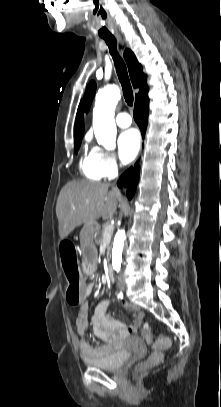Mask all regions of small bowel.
<instances>
[{
	"instance_id": "small-bowel-1",
	"label": "small bowel",
	"mask_w": 221,
	"mask_h": 407,
	"mask_svg": "<svg viewBox=\"0 0 221 407\" xmlns=\"http://www.w3.org/2000/svg\"><path fill=\"white\" fill-rule=\"evenodd\" d=\"M94 288L95 286L93 283H89L85 286V297L84 300H82V305L80 306L75 321L77 345L80 355L84 360L100 358L109 354L118 346L121 339L127 337L131 333L137 332L143 318V314L136 310L131 303L122 301V306L124 308L135 310L137 315L136 320L132 324L126 325L107 313L109 299H104L97 305L94 314L89 319L87 298L91 295ZM89 326H91L94 335L100 340V343L97 345H91L86 339V333Z\"/></svg>"
}]
</instances>
